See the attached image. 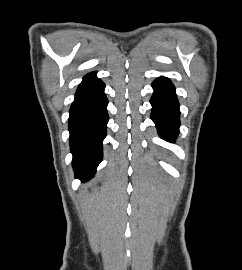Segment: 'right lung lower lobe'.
<instances>
[{"label":"right lung lower lobe","mask_w":242,"mask_h":270,"mask_svg":"<svg viewBox=\"0 0 242 270\" xmlns=\"http://www.w3.org/2000/svg\"><path fill=\"white\" fill-rule=\"evenodd\" d=\"M104 83L95 73L86 75L75 94L69 117L70 148L75 177L90 179L102 160L108 100Z\"/></svg>","instance_id":"1"}]
</instances>
